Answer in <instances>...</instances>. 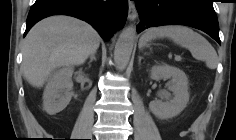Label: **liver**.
<instances>
[{"instance_id": "1", "label": "liver", "mask_w": 236, "mask_h": 140, "mask_svg": "<svg viewBox=\"0 0 236 140\" xmlns=\"http://www.w3.org/2000/svg\"><path fill=\"white\" fill-rule=\"evenodd\" d=\"M100 40L95 29L79 19L63 15L43 19L23 42L24 78L33 87H42L57 67L85 63Z\"/></svg>"}]
</instances>
